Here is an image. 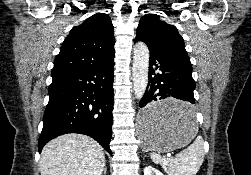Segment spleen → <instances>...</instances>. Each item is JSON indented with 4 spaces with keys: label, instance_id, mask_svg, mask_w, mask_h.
<instances>
[{
    "label": "spleen",
    "instance_id": "3e777b00",
    "mask_svg": "<svg viewBox=\"0 0 251 175\" xmlns=\"http://www.w3.org/2000/svg\"><path fill=\"white\" fill-rule=\"evenodd\" d=\"M181 115L185 123H194L193 127H196V121H193L195 115L191 109H182ZM151 157L155 163H161L168 175H195L204 161V139L202 135H198L189 147L177 153L175 159H161L158 153H151Z\"/></svg>",
    "mask_w": 251,
    "mask_h": 175
}]
</instances>
